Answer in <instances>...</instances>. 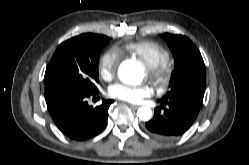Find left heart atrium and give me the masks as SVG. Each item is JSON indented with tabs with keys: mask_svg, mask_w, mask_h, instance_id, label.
<instances>
[{
	"mask_svg": "<svg viewBox=\"0 0 249 165\" xmlns=\"http://www.w3.org/2000/svg\"><path fill=\"white\" fill-rule=\"evenodd\" d=\"M111 97L127 101L130 103H137L143 98L151 94L149 86H130L123 83H115L109 89Z\"/></svg>",
	"mask_w": 249,
	"mask_h": 165,
	"instance_id": "obj_1",
	"label": "left heart atrium"
}]
</instances>
